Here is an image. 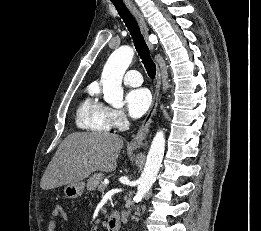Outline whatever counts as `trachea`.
Returning a JSON list of instances; mask_svg holds the SVG:
<instances>
[{
	"mask_svg": "<svg viewBox=\"0 0 261 231\" xmlns=\"http://www.w3.org/2000/svg\"><path fill=\"white\" fill-rule=\"evenodd\" d=\"M111 1L114 4V6L116 7L120 17L123 19L124 23L126 24L128 30L132 36L135 48L138 52V55L142 59V62L148 73V76L151 79H154L155 74H156V65L150 56L149 49L143 38V35L140 32V28H139L135 18L130 13V11L127 9V7L125 6V4L123 3L122 0L121 1L120 0L119 1L111 0Z\"/></svg>",
	"mask_w": 261,
	"mask_h": 231,
	"instance_id": "obj_1",
	"label": "trachea"
}]
</instances>
